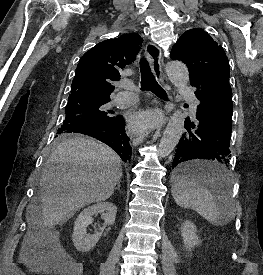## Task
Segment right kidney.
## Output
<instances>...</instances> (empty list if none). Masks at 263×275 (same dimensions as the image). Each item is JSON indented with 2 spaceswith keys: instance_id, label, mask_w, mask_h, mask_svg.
<instances>
[{
  "instance_id": "ca27d5eb",
  "label": "right kidney",
  "mask_w": 263,
  "mask_h": 275,
  "mask_svg": "<svg viewBox=\"0 0 263 275\" xmlns=\"http://www.w3.org/2000/svg\"><path fill=\"white\" fill-rule=\"evenodd\" d=\"M102 214L105 226L99 228V232L87 235V226L92 224L94 214ZM117 207L111 202H101L84 209L77 217L74 224L72 240L77 250L87 252L91 250L99 241L106 226L115 222Z\"/></svg>"
}]
</instances>
